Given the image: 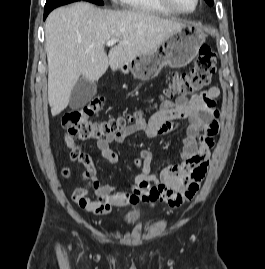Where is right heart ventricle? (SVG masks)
<instances>
[{
	"instance_id": "1",
	"label": "right heart ventricle",
	"mask_w": 265,
	"mask_h": 269,
	"mask_svg": "<svg viewBox=\"0 0 265 269\" xmlns=\"http://www.w3.org/2000/svg\"><path fill=\"white\" fill-rule=\"evenodd\" d=\"M123 6L130 10L156 14H174L166 9L158 0H119Z\"/></svg>"
}]
</instances>
